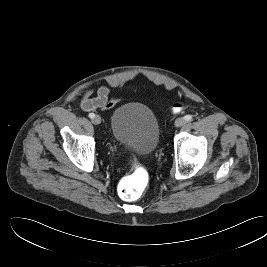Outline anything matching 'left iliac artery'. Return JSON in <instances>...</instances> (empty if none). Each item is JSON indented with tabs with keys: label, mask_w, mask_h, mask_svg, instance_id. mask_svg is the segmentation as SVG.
<instances>
[{
	"label": "left iliac artery",
	"mask_w": 267,
	"mask_h": 267,
	"mask_svg": "<svg viewBox=\"0 0 267 267\" xmlns=\"http://www.w3.org/2000/svg\"><path fill=\"white\" fill-rule=\"evenodd\" d=\"M184 119H185L187 122H189V121H192L193 117H192V115H186V116H184Z\"/></svg>",
	"instance_id": "obj_1"
}]
</instances>
